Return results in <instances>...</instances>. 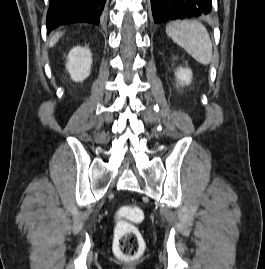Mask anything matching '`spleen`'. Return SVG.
Segmentation results:
<instances>
[{
	"label": "spleen",
	"instance_id": "obj_1",
	"mask_svg": "<svg viewBox=\"0 0 265 269\" xmlns=\"http://www.w3.org/2000/svg\"><path fill=\"white\" fill-rule=\"evenodd\" d=\"M166 34L203 65L212 60V42L205 26L195 21L172 22Z\"/></svg>",
	"mask_w": 265,
	"mask_h": 269
}]
</instances>
